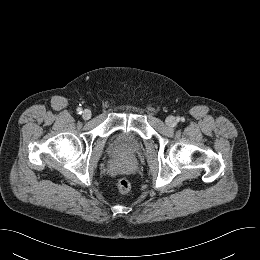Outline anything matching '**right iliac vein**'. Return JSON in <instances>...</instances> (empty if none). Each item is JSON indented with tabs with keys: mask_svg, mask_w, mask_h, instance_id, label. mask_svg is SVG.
<instances>
[{
	"mask_svg": "<svg viewBox=\"0 0 260 260\" xmlns=\"http://www.w3.org/2000/svg\"><path fill=\"white\" fill-rule=\"evenodd\" d=\"M91 111L89 109H85L83 112H82V117L83 119L85 120H88L91 118Z\"/></svg>",
	"mask_w": 260,
	"mask_h": 260,
	"instance_id": "right-iliac-vein-1",
	"label": "right iliac vein"
}]
</instances>
